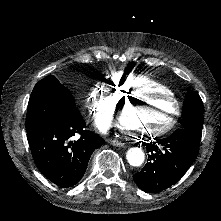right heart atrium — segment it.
<instances>
[{
	"mask_svg": "<svg viewBox=\"0 0 221 221\" xmlns=\"http://www.w3.org/2000/svg\"><path fill=\"white\" fill-rule=\"evenodd\" d=\"M112 78L113 77L108 74L97 82L94 90V98L90 102V109L93 112L104 113L105 111H109L117 102V90ZM106 88L110 89L108 95H105Z\"/></svg>",
	"mask_w": 221,
	"mask_h": 221,
	"instance_id": "right-heart-atrium-1",
	"label": "right heart atrium"
}]
</instances>
